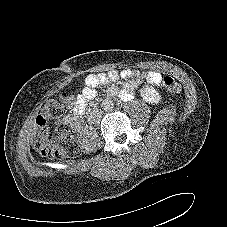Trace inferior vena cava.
<instances>
[{
	"instance_id": "1",
	"label": "inferior vena cava",
	"mask_w": 227,
	"mask_h": 227,
	"mask_svg": "<svg viewBox=\"0 0 227 227\" xmlns=\"http://www.w3.org/2000/svg\"><path fill=\"white\" fill-rule=\"evenodd\" d=\"M89 114H90V118L89 119H90L91 122H95V120L97 118H99V116H100V112L97 111V110H93Z\"/></svg>"
}]
</instances>
